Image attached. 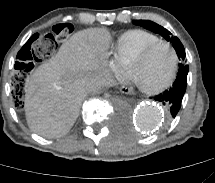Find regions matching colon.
<instances>
[{"instance_id":"5ec220e1","label":"colon","mask_w":215,"mask_h":183,"mask_svg":"<svg viewBox=\"0 0 215 183\" xmlns=\"http://www.w3.org/2000/svg\"><path fill=\"white\" fill-rule=\"evenodd\" d=\"M70 23H58L53 26L52 32L47 33L42 29L35 30L30 37L19 42L14 48V60L12 76L11 97L15 101L12 111L17 116H22L27 111V105L23 101L26 92L23 89L27 74L36 64L50 60L57 49L58 42L66 40L73 32Z\"/></svg>"}]
</instances>
